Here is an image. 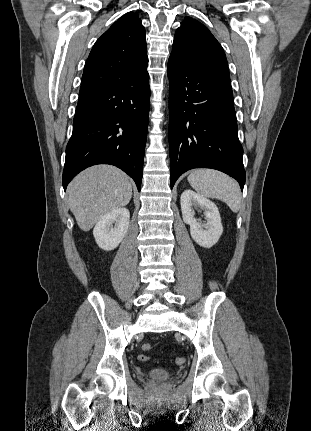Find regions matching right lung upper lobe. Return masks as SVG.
<instances>
[{"mask_svg":"<svg viewBox=\"0 0 311 431\" xmlns=\"http://www.w3.org/2000/svg\"><path fill=\"white\" fill-rule=\"evenodd\" d=\"M145 29L137 13L115 22L94 44L79 94L130 81L147 68Z\"/></svg>","mask_w":311,"mask_h":431,"instance_id":"right-lung-upper-lobe-1","label":"right lung upper lobe"}]
</instances>
